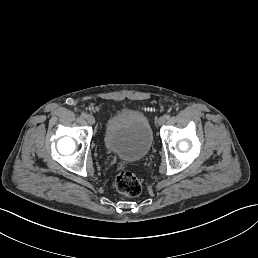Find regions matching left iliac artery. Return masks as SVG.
<instances>
[{
    "label": "left iliac artery",
    "mask_w": 258,
    "mask_h": 258,
    "mask_svg": "<svg viewBox=\"0 0 258 258\" xmlns=\"http://www.w3.org/2000/svg\"><path fill=\"white\" fill-rule=\"evenodd\" d=\"M170 117H171L170 114H165V118H166V119H169Z\"/></svg>",
    "instance_id": "obj_1"
}]
</instances>
